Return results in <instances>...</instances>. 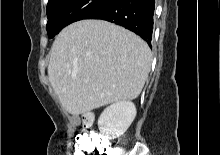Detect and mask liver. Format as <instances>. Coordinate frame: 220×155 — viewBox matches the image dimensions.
<instances>
[{"mask_svg":"<svg viewBox=\"0 0 220 155\" xmlns=\"http://www.w3.org/2000/svg\"><path fill=\"white\" fill-rule=\"evenodd\" d=\"M152 62L149 46L134 33L103 20L65 27L50 51L48 77L73 116L141 93Z\"/></svg>","mask_w":220,"mask_h":155,"instance_id":"1","label":"liver"}]
</instances>
